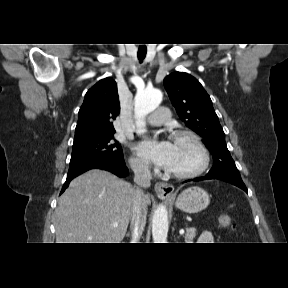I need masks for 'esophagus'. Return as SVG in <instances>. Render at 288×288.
<instances>
[{
	"label": "esophagus",
	"instance_id": "34e87169",
	"mask_svg": "<svg viewBox=\"0 0 288 288\" xmlns=\"http://www.w3.org/2000/svg\"><path fill=\"white\" fill-rule=\"evenodd\" d=\"M154 189L156 194L163 198L172 196L174 192V186L166 182H157Z\"/></svg>",
	"mask_w": 288,
	"mask_h": 288
}]
</instances>
